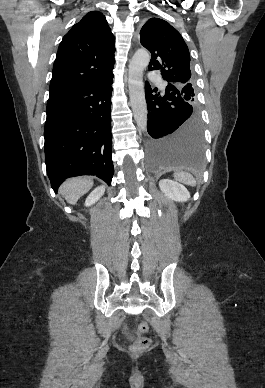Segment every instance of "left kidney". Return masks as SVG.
I'll return each mask as SVG.
<instances>
[{
    "mask_svg": "<svg viewBox=\"0 0 265 388\" xmlns=\"http://www.w3.org/2000/svg\"><path fill=\"white\" fill-rule=\"evenodd\" d=\"M159 188L167 198L174 200V202H187L190 194L182 184L172 182V180H160Z\"/></svg>",
    "mask_w": 265,
    "mask_h": 388,
    "instance_id": "left-kidney-1",
    "label": "left kidney"
}]
</instances>
